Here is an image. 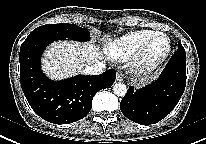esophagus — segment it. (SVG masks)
Listing matches in <instances>:
<instances>
[{
  "mask_svg": "<svg viewBox=\"0 0 206 144\" xmlns=\"http://www.w3.org/2000/svg\"><path fill=\"white\" fill-rule=\"evenodd\" d=\"M116 81H118V82L123 81V75L121 73H117Z\"/></svg>",
  "mask_w": 206,
  "mask_h": 144,
  "instance_id": "34e87169",
  "label": "esophagus"
}]
</instances>
